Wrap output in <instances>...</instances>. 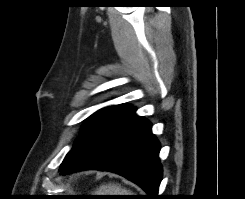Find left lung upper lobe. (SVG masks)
I'll list each match as a JSON object with an SVG mask.
<instances>
[{
  "instance_id": "1",
  "label": "left lung upper lobe",
  "mask_w": 245,
  "mask_h": 199,
  "mask_svg": "<svg viewBox=\"0 0 245 199\" xmlns=\"http://www.w3.org/2000/svg\"><path fill=\"white\" fill-rule=\"evenodd\" d=\"M129 107L130 106L127 104L110 106L103 108L88 117L81 127L80 137L76 139L73 148L68 152L65 159L63 160L60 166V171L62 172L68 168L82 153L90 140L108 123L113 121Z\"/></svg>"
}]
</instances>
